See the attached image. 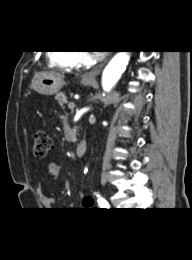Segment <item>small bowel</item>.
Segmentation results:
<instances>
[{
  "label": "small bowel",
  "mask_w": 192,
  "mask_h": 260,
  "mask_svg": "<svg viewBox=\"0 0 192 260\" xmlns=\"http://www.w3.org/2000/svg\"><path fill=\"white\" fill-rule=\"evenodd\" d=\"M46 171H47V174L51 178L56 180V179H58L59 174H60V167H59V165L56 162L52 161V162H50L47 165ZM38 190H39V194H40V201H41V203H42L44 208L50 210V209H53V208H55L57 206L58 202H57V200L55 198L49 197V196H46V195L42 194V192H41V185L38 186ZM82 203H83L84 207H89V206H91L92 201H91V199L89 197H85L83 199Z\"/></svg>",
  "instance_id": "small-bowel-1"
}]
</instances>
